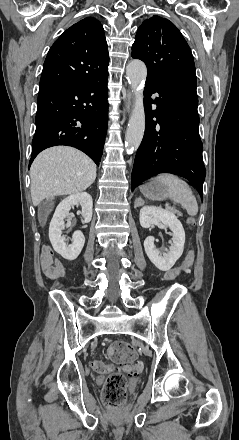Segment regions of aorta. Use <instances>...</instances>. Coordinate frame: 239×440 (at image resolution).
<instances>
[{
    "mask_svg": "<svg viewBox=\"0 0 239 440\" xmlns=\"http://www.w3.org/2000/svg\"><path fill=\"white\" fill-rule=\"evenodd\" d=\"M126 76L134 94V106L131 112L125 142L128 150H138L145 130V112L143 90L139 88L147 78V68L141 60H132L126 66Z\"/></svg>",
    "mask_w": 239,
    "mask_h": 440,
    "instance_id": "obj_1",
    "label": "aorta"
}]
</instances>
